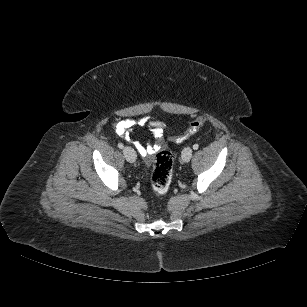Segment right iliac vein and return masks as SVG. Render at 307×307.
<instances>
[{
    "mask_svg": "<svg viewBox=\"0 0 307 307\" xmlns=\"http://www.w3.org/2000/svg\"><path fill=\"white\" fill-rule=\"evenodd\" d=\"M123 154L128 162L134 163L136 161V153L131 147H125L123 149Z\"/></svg>",
    "mask_w": 307,
    "mask_h": 307,
    "instance_id": "63e3f726",
    "label": "right iliac vein"
}]
</instances>
